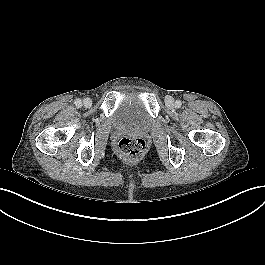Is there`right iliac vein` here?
<instances>
[{"instance_id": "63e3f726", "label": "right iliac vein", "mask_w": 265, "mask_h": 265, "mask_svg": "<svg viewBox=\"0 0 265 265\" xmlns=\"http://www.w3.org/2000/svg\"><path fill=\"white\" fill-rule=\"evenodd\" d=\"M83 105L86 107V108H89L91 105H92V100L90 98H85L83 100Z\"/></svg>"}]
</instances>
